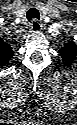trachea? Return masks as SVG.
I'll list each match as a JSON object with an SVG mask.
<instances>
[{"instance_id": "trachea-1", "label": "trachea", "mask_w": 77, "mask_h": 125, "mask_svg": "<svg viewBox=\"0 0 77 125\" xmlns=\"http://www.w3.org/2000/svg\"><path fill=\"white\" fill-rule=\"evenodd\" d=\"M26 18L28 19V21L32 19H39L40 18L39 11L34 7L30 8L26 13Z\"/></svg>"}]
</instances>
